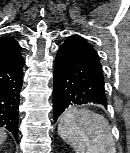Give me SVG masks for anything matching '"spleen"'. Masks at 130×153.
Masks as SVG:
<instances>
[{
    "instance_id": "spleen-1",
    "label": "spleen",
    "mask_w": 130,
    "mask_h": 153,
    "mask_svg": "<svg viewBox=\"0 0 130 153\" xmlns=\"http://www.w3.org/2000/svg\"><path fill=\"white\" fill-rule=\"evenodd\" d=\"M58 132L76 153H116L107 120L89 110H66L60 117Z\"/></svg>"
}]
</instances>
